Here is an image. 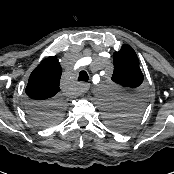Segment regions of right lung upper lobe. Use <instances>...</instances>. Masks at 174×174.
Returning a JSON list of instances; mask_svg holds the SVG:
<instances>
[{
  "instance_id": "cb5924a9",
  "label": "right lung upper lobe",
  "mask_w": 174,
  "mask_h": 174,
  "mask_svg": "<svg viewBox=\"0 0 174 174\" xmlns=\"http://www.w3.org/2000/svg\"><path fill=\"white\" fill-rule=\"evenodd\" d=\"M61 66L56 56L44 59L31 73L26 94L32 103H46L59 98Z\"/></svg>"
}]
</instances>
